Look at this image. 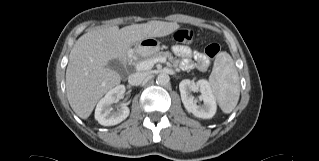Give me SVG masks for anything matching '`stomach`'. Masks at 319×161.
I'll return each mask as SVG.
<instances>
[{"mask_svg": "<svg viewBox=\"0 0 319 161\" xmlns=\"http://www.w3.org/2000/svg\"><path fill=\"white\" fill-rule=\"evenodd\" d=\"M160 49V43L153 37L143 39L136 43V52L142 57H149L157 53Z\"/></svg>", "mask_w": 319, "mask_h": 161, "instance_id": "stomach-1", "label": "stomach"}]
</instances>
